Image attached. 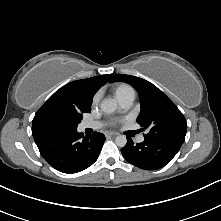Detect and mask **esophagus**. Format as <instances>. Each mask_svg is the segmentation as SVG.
Masks as SVG:
<instances>
[{
    "mask_svg": "<svg viewBox=\"0 0 221 221\" xmlns=\"http://www.w3.org/2000/svg\"><path fill=\"white\" fill-rule=\"evenodd\" d=\"M118 133L116 132H107L106 133V136L109 135V136H116Z\"/></svg>",
    "mask_w": 221,
    "mask_h": 221,
    "instance_id": "obj_1",
    "label": "esophagus"
}]
</instances>
